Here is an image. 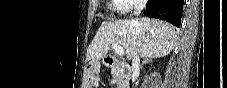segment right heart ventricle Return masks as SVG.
<instances>
[{"label":"right heart ventricle","mask_w":227,"mask_h":88,"mask_svg":"<svg viewBox=\"0 0 227 88\" xmlns=\"http://www.w3.org/2000/svg\"><path fill=\"white\" fill-rule=\"evenodd\" d=\"M112 8L117 12L124 11L123 3L121 0H113L112 1Z\"/></svg>","instance_id":"e07e8e85"}]
</instances>
